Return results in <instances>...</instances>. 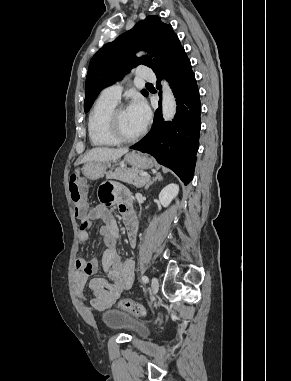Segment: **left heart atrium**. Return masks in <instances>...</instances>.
<instances>
[{
	"label": "left heart atrium",
	"mask_w": 291,
	"mask_h": 381,
	"mask_svg": "<svg viewBox=\"0 0 291 381\" xmlns=\"http://www.w3.org/2000/svg\"><path fill=\"white\" fill-rule=\"evenodd\" d=\"M128 109L144 128L150 119V111L144 99L140 96L134 97Z\"/></svg>",
	"instance_id": "1"
}]
</instances>
